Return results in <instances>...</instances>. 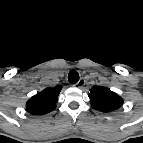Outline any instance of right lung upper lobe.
I'll use <instances>...</instances> for the list:
<instances>
[{"label":"right lung upper lobe","instance_id":"cb5924a9","mask_svg":"<svg viewBox=\"0 0 143 143\" xmlns=\"http://www.w3.org/2000/svg\"><path fill=\"white\" fill-rule=\"evenodd\" d=\"M61 89L62 87L58 85L37 93L27 101V111L33 115H44L53 111L56 108Z\"/></svg>","mask_w":143,"mask_h":143}]
</instances>
